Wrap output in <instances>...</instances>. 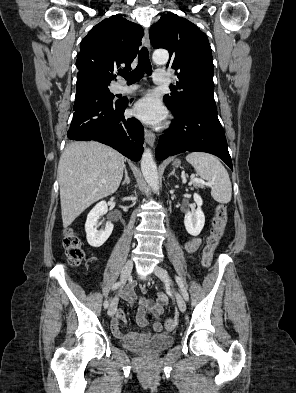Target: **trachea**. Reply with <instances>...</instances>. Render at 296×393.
Masks as SVG:
<instances>
[{
	"label": "trachea",
	"instance_id": "obj_1",
	"mask_svg": "<svg viewBox=\"0 0 296 393\" xmlns=\"http://www.w3.org/2000/svg\"><path fill=\"white\" fill-rule=\"evenodd\" d=\"M144 72L149 76L152 74V66L146 47H143L139 52L137 67L131 72H121L120 75L127 80L128 84H132L139 81Z\"/></svg>",
	"mask_w": 296,
	"mask_h": 393
}]
</instances>
